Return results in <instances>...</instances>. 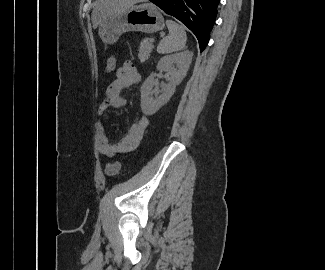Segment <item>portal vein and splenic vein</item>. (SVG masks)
<instances>
[{"mask_svg":"<svg viewBox=\"0 0 325 270\" xmlns=\"http://www.w3.org/2000/svg\"><path fill=\"white\" fill-rule=\"evenodd\" d=\"M150 41H151V42H153V41H154V39H151Z\"/></svg>","mask_w":325,"mask_h":270,"instance_id":"18ae733b","label":"portal vein and splenic vein"}]
</instances>
